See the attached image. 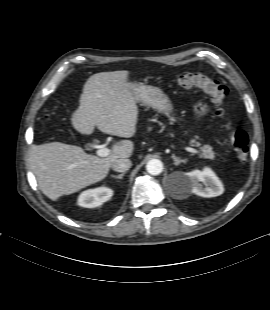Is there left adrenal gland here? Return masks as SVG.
<instances>
[{"label":"left adrenal gland","instance_id":"1","mask_svg":"<svg viewBox=\"0 0 270 310\" xmlns=\"http://www.w3.org/2000/svg\"><path fill=\"white\" fill-rule=\"evenodd\" d=\"M172 159L174 160L175 165H179L180 163H186V159H180L175 154H172Z\"/></svg>","mask_w":270,"mask_h":310}]
</instances>
